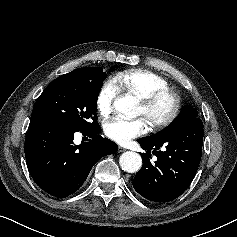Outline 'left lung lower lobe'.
I'll use <instances>...</instances> for the list:
<instances>
[{
    "label": "left lung lower lobe",
    "mask_w": 237,
    "mask_h": 237,
    "mask_svg": "<svg viewBox=\"0 0 237 237\" xmlns=\"http://www.w3.org/2000/svg\"><path fill=\"white\" fill-rule=\"evenodd\" d=\"M203 136V123L197 117L163 140L138 139L145 153H140L143 166L133 180L134 189L155 202H168L179 197L189 187L198 169ZM151 154L157 157L154 163L150 161Z\"/></svg>",
    "instance_id": "1"
}]
</instances>
